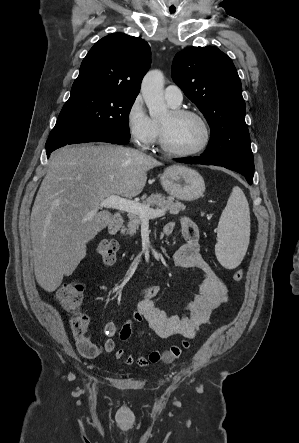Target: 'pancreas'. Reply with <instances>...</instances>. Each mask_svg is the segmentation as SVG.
Masks as SVG:
<instances>
[{
    "label": "pancreas",
    "mask_w": 299,
    "mask_h": 443,
    "mask_svg": "<svg viewBox=\"0 0 299 443\" xmlns=\"http://www.w3.org/2000/svg\"><path fill=\"white\" fill-rule=\"evenodd\" d=\"M142 205L148 207H155L156 209H161L169 211L172 215H177L181 210H185L184 204L178 201H174L172 197H165L162 194H152L146 200H143ZM129 222L127 228L122 229V233L129 234L133 236L139 229V225L142 223V218L134 213H128Z\"/></svg>",
    "instance_id": "cf45deb5"
}]
</instances>
